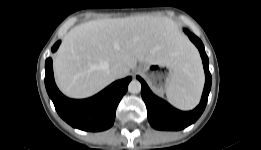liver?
I'll return each mask as SVG.
<instances>
[{"mask_svg": "<svg viewBox=\"0 0 261 150\" xmlns=\"http://www.w3.org/2000/svg\"><path fill=\"white\" fill-rule=\"evenodd\" d=\"M196 54L176 23L159 16L93 20L70 30L54 57L60 90L72 98L89 97L116 77L114 64L128 71L137 62L182 71ZM123 76V77H124Z\"/></svg>", "mask_w": 261, "mask_h": 150, "instance_id": "6515ba94", "label": "liver"}]
</instances>
